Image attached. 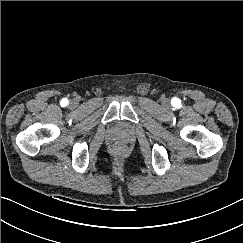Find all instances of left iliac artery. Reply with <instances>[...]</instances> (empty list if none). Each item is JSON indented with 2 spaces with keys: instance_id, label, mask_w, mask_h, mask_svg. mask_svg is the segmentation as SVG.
I'll return each instance as SVG.
<instances>
[{
  "instance_id": "44dca946",
  "label": "left iliac artery",
  "mask_w": 243,
  "mask_h": 243,
  "mask_svg": "<svg viewBox=\"0 0 243 243\" xmlns=\"http://www.w3.org/2000/svg\"><path fill=\"white\" fill-rule=\"evenodd\" d=\"M177 100H178L177 98H174L173 99V102L176 104L177 103Z\"/></svg>"
}]
</instances>
